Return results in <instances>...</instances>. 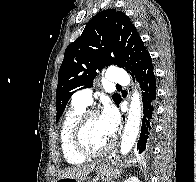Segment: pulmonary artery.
Masks as SVG:
<instances>
[{
    "instance_id": "e3ab8cb5",
    "label": "pulmonary artery",
    "mask_w": 196,
    "mask_h": 182,
    "mask_svg": "<svg viewBox=\"0 0 196 182\" xmlns=\"http://www.w3.org/2000/svg\"><path fill=\"white\" fill-rule=\"evenodd\" d=\"M107 77L110 83L114 85H128L129 84V78L128 74L120 69L117 68H110L107 71ZM92 91L90 89H83L80 91H77L73 95V102L79 103L84 106H88L92 102L91 97Z\"/></svg>"
}]
</instances>
